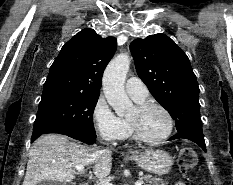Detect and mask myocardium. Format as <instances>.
<instances>
[{"label": "myocardium", "mask_w": 233, "mask_h": 185, "mask_svg": "<svg viewBox=\"0 0 233 185\" xmlns=\"http://www.w3.org/2000/svg\"><path fill=\"white\" fill-rule=\"evenodd\" d=\"M149 108H157L165 114V116L168 120V129L163 136L156 138V139L147 138L142 134V132L140 131L139 126L135 120L129 118L128 121H129L131 130H132L133 137L136 140H138L142 143L148 144V145H157V144L164 142L172 135V133L174 131V126H175L174 118H173L172 114L170 113V111L164 105H162L158 102H155V101H142V102L138 103L136 106V109L139 113H142Z\"/></svg>", "instance_id": "1"}]
</instances>
